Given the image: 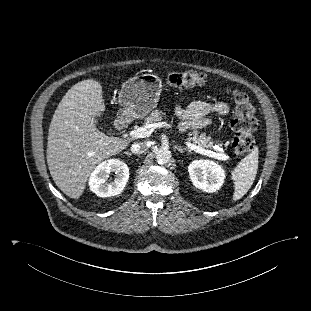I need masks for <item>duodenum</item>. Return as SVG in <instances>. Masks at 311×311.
<instances>
[{
  "label": "duodenum",
  "mask_w": 311,
  "mask_h": 311,
  "mask_svg": "<svg viewBox=\"0 0 311 311\" xmlns=\"http://www.w3.org/2000/svg\"><path fill=\"white\" fill-rule=\"evenodd\" d=\"M127 119L125 118V117H123V116H120L117 120H116V122H115V125H116V127H118V128H123V127H125L126 125H127Z\"/></svg>",
  "instance_id": "obj_1"
}]
</instances>
